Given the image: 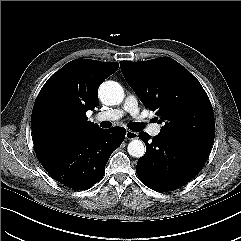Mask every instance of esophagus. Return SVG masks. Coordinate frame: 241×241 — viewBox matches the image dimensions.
Listing matches in <instances>:
<instances>
[{"mask_svg": "<svg viewBox=\"0 0 241 241\" xmlns=\"http://www.w3.org/2000/svg\"><path fill=\"white\" fill-rule=\"evenodd\" d=\"M125 136L128 140H133L138 138V133L131 130H127Z\"/></svg>", "mask_w": 241, "mask_h": 241, "instance_id": "esophagus-1", "label": "esophagus"}]
</instances>
